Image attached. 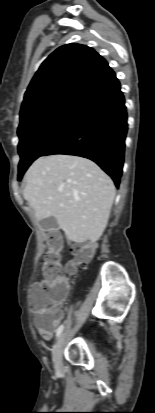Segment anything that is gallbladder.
Here are the masks:
<instances>
[{"mask_svg":"<svg viewBox=\"0 0 155 413\" xmlns=\"http://www.w3.org/2000/svg\"><path fill=\"white\" fill-rule=\"evenodd\" d=\"M41 225L46 230H51L57 227V222L55 220H45L41 221Z\"/></svg>","mask_w":155,"mask_h":413,"instance_id":"bac80fb5","label":"gallbladder"}]
</instances>
